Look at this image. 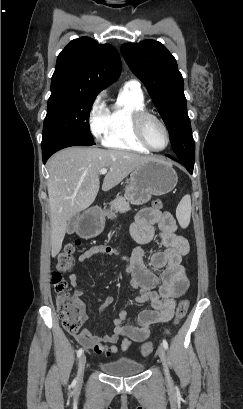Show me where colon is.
Returning <instances> with one entry per match:
<instances>
[{"mask_svg":"<svg viewBox=\"0 0 243 409\" xmlns=\"http://www.w3.org/2000/svg\"><path fill=\"white\" fill-rule=\"evenodd\" d=\"M152 207L155 210H160L163 207V203L160 200H155L152 203ZM80 244V240L76 241V245ZM74 251L75 245L70 244L66 246L58 256L57 270L52 274V283L55 292L58 294L56 305L58 316L61 320L62 326L68 333H77L82 325L83 316L80 311V305L70 296L66 294L67 282L61 275V272L67 273L74 268ZM189 308V303L183 300L176 308L175 317L171 323L172 326H177L186 316ZM153 350V345L147 343L142 346L141 354L148 356Z\"/></svg>","mask_w":243,"mask_h":409,"instance_id":"obj_1","label":"colon"}]
</instances>
